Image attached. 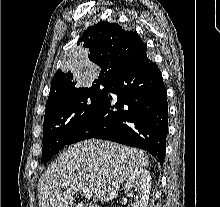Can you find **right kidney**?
Wrapping results in <instances>:
<instances>
[{"mask_svg":"<svg viewBox=\"0 0 220 207\" xmlns=\"http://www.w3.org/2000/svg\"><path fill=\"white\" fill-rule=\"evenodd\" d=\"M151 177L147 170L138 169L135 170L125 184V189L130 191L132 187L136 186V197L132 207H147L150 189H151Z\"/></svg>","mask_w":220,"mask_h":207,"instance_id":"1","label":"right kidney"}]
</instances>
